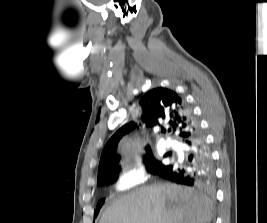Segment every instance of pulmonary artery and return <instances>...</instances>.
Instances as JSON below:
<instances>
[{"label":"pulmonary artery","instance_id":"obj_1","mask_svg":"<svg viewBox=\"0 0 267 223\" xmlns=\"http://www.w3.org/2000/svg\"><path fill=\"white\" fill-rule=\"evenodd\" d=\"M166 146H167V147H171V146H172V143H171V142H167V143H166Z\"/></svg>","mask_w":267,"mask_h":223}]
</instances>
